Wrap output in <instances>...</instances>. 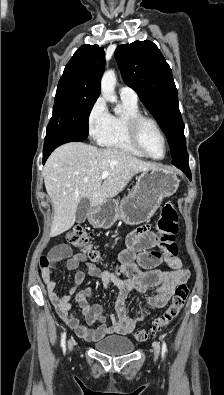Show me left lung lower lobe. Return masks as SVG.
Masks as SVG:
<instances>
[{
    "label": "left lung lower lobe",
    "instance_id": "0a47b994",
    "mask_svg": "<svg viewBox=\"0 0 224 395\" xmlns=\"http://www.w3.org/2000/svg\"><path fill=\"white\" fill-rule=\"evenodd\" d=\"M188 158L189 157L187 151H185L178 158L173 159L172 164L175 165L177 168L181 169L186 174V176L191 179V172L188 166Z\"/></svg>",
    "mask_w": 224,
    "mask_h": 395
}]
</instances>
